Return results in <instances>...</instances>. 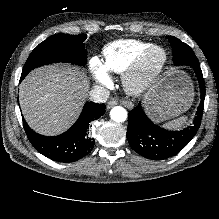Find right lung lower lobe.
<instances>
[{
	"mask_svg": "<svg viewBox=\"0 0 219 219\" xmlns=\"http://www.w3.org/2000/svg\"><path fill=\"white\" fill-rule=\"evenodd\" d=\"M22 80V78H21ZM105 113L104 104L87 103L74 125L61 135L46 137L34 132L24 123L27 136L33 146L44 156L60 162H72L85 156L93 147L85 138L89 123Z\"/></svg>",
	"mask_w": 219,
	"mask_h": 219,
	"instance_id": "98d812e1",
	"label": "right lung lower lobe"
}]
</instances>
